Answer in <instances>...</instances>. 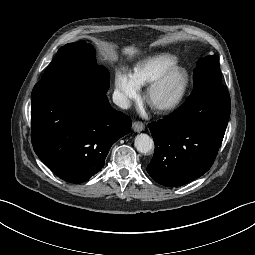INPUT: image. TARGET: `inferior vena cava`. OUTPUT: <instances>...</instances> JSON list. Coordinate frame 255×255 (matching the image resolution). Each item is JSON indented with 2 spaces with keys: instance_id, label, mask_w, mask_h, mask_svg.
Returning <instances> with one entry per match:
<instances>
[{
  "instance_id": "1",
  "label": "inferior vena cava",
  "mask_w": 255,
  "mask_h": 255,
  "mask_svg": "<svg viewBox=\"0 0 255 255\" xmlns=\"http://www.w3.org/2000/svg\"><path fill=\"white\" fill-rule=\"evenodd\" d=\"M113 102L122 109H128L131 106L130 100L120 91L116 90L113 93Z\"/></svg>"
}]
</instances>
